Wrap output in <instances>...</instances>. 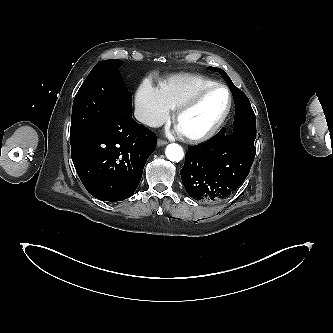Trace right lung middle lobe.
<instances>
[{"instance_id": "right-lung-middle-lobe-1", "label": "right lung middle lobe", "mask_w": 333, "mask_h": 333, "mask_svg": "<svg viewBox=\"0 0 333 333\" xmlns=\"http://www.w3.org/2000/svg\"><path fill=\"white\" fill-rule=\"evenodd\" d=\"M119 60L96 64L78 90L72 108L70 143L77 142L106 121L123 98L132 99L120 76Z\"/></svg>"}]
</instances>
